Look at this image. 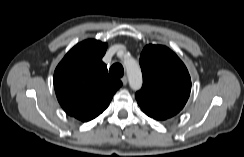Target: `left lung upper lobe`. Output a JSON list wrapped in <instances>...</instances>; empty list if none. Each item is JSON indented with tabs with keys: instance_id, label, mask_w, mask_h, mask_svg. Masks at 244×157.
Instances as JSON below:
<instances>
[{
	"instance_id": "5c2ea615",
	"label": "left lung upper lobe",
	"mask_w": 244,
	"mask_h": 157,
	"mask_svg": "<svg viewBox=\"0 0 244 157\" xmlns=\"http://www.w3.org/2000/svg\"><path fill=\"white\" fill-rule=\"evenodd\" d=\"M143 86L136 100L143 112L156 120L179 113L191 91V78L184 63L166 46L147 45L140 56Z\"/></svg>"
}]
</instances>
